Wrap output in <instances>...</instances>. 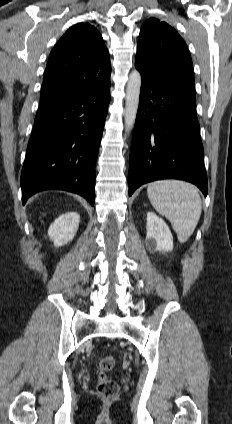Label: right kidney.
<instances>
[{
	"label": "right kidney",
	"instance_id": "right-kidney-1",
	"mask_svg": "<svg viewBox=\"0 0 232 424\" xmlns=\"http://www.w3.org/2000/svg\"><path fill=\"white\" fill-rule=\"evenodd\" d=\"M80 222L77 212H67L60 215L49 227L48 236L55 247L63 246L74 238Z\"/></svg>",
	"mask_w": 232,
	"mask_h": 424
}]
</instances>
